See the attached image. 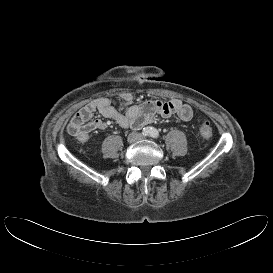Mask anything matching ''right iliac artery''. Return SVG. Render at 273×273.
<instances>
[{
    "instance_id": "obj_1",
    "label": "right iliac artery",
    "mask_w": 273,
    "mask_h": 273,
    "mask_svg": "<svg viewBox=\"0 0 273 273\" xmlns=\"http://www.w3.org/2000/svg\"><path fill=\"white\" fill-rule=\"evenodd\" d=\"M150 133H151V128H148V127L144 128L142 131V134L144 136H148V135H150Z\"/></svg>"
}]
</instances>
